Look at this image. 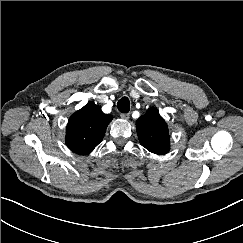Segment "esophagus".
I'll use <instances>...</instances> for the list:
<instances>
[{"mask_svg": "<svg viewBox=\"0 0 243 243\" xmlns=\"http://www.w3.org/2000/svg\"><path fill=\"white\" fill-rule=\"evenodd\" d=\"M120 116L122 119H125V120H128L130 117V115L128 113H121Z\"/></svg>", "mask_w": 243, "mask_h": 243, "instance_id": "obj_1", "label": "esophagus"}]
</instances>
